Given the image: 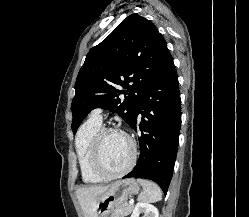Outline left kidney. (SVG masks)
<instances>
[{"instance_id": "5707ae66", "label": "left kidney", "mask_w": 249, "mask_h": 217, "mask_svg": "<svg viewBox=\"0 0 249 217\" xmlns=\"http://www.w3.org/2000/svg\"><path fill=\"white\" fill-rule=\"evenodd\" d=\"M141 213H144V217H159L158 209L152 204L145 202L136 204L131 217H139Z\"/></svg>"}]
</instances>
